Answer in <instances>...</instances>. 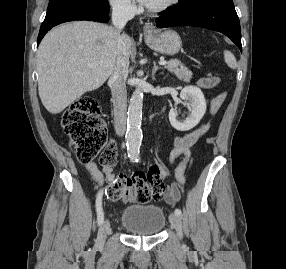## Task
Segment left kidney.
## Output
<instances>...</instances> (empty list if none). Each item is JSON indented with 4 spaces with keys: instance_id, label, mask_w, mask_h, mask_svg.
Segmentation results:
<instances>
[{
    "instance_id": "left-kidney-1",
    "label": "left kidney",
    "mask_w": 286,
    "mask_h": 269,
    "mask_svg": "<svg viewBox=\"0 0 286 269\" xmlns=\"http://www.w3.org/2000/svg\"><path fill=\"white\" fill-rule=\"evenodd\" d=\"M180 98L190 105L189 116L185 120L178 119L177 108L169 112V121L178 131H188L194 128L206 112V100L201 89L195 86H186L180 92Z\"/></svg>"
}]
</instances>
